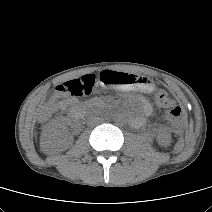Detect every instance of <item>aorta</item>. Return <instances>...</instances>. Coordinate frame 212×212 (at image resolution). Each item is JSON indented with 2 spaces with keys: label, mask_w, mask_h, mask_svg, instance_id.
Segmentation results:
<instances>
[{
  "label": "aorta",
  "mask_w": 212,
  "mask_h": 212,
  "mask_svg": "<svg viewBox=\"0 0 212 212\" xmlns=\"http://www.w3.org/2000/svg\"><path fill=\"white\" fill-rule=\"evenodd\" d=\"M116 122L119 123V124H122L124 122V119L122 116H119L117 119H116Z\"/></svg>",
  "instance_id": "762f6f07"
}]
</instances>
